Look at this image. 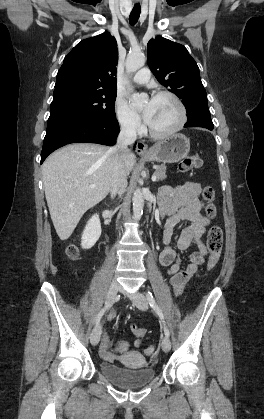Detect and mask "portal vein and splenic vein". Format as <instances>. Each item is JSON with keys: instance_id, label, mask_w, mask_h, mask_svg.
<instances>
[{"instance_id": "portal-vein-and-splenic-vein-1", "label": "portal vein and splenic vein", "mask_w": 264, "mask_h": 419, "mask_svg": "<svg viewBox=\"0 0 264 419\" xmlns=\"http://www.w3.org/2000/svg\"><path fill=\"white\" fill-rule=\"evenodd\" d=\"M156 180H157V176L154 174V175L152 176V181H153V182H156ZM90 187H91V188H94V187H95V185H94V184H91V185H90Z\"/></svg>"}]
</instances>
